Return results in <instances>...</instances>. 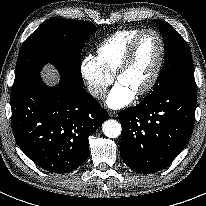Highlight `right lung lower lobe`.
I'll use <instances>...</instances> for the list:
<instances>
[{
    "label": "right lung lower lobe",
    "mask_w": 206,
    "mask_h": 206,
    "mask_svg": "<svg viewBox=\"0 0 206 206\" xmlns=\"http://www.w3.org/2000/svg\"><path fill=\"white\" fill-rule=\"evenodd\" d=\"M12 130L21 150L40 168L67 173L83 164L88 137L108 114L83 86L61 76L47 87L40 76L11 95Z\"/></svg>",
    "instance_id": "98d812e1"
}]
</instances>
